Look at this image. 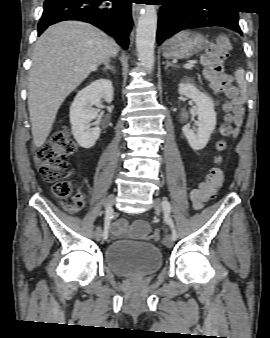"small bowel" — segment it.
Instances as JSON below:
<instances>
[{
  "label": "small bowel",
  "instance_id": "small-bowel-1",
  "mask_svg": "<svg viewBox=\"0 0 270 338\" xmlns=\"http://www.w3.org/2000/svg\"><path fill=\"white\" fill-rule=\"evenodd\" d=\"M81 197L80 195H76L73 197L72 201H80ZM124 223H115L114 224V228H113V236L115 237H119L120 233H121V229L124 227ZM132 237L135 239H139V240H147L149 239V227L147 225V223L143 220H137L134 225H133V229H132V233H131Z\"/></svg>",
  "mask_w": 270,
  "mask_h": 338
}]
</instances>
